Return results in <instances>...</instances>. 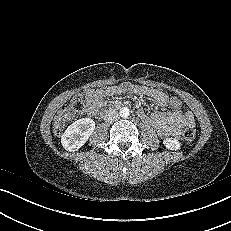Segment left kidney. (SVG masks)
<instances>
[{"label":"left kidney","mask_w":231,"mask_h":231,"mask_svg":"<svg viewBox=\"0 0 231 231\" xmlns=\"http://www.w3.org/2000/svg\"><path fill=\"white\" fill-rule=\"evenodd\" d=\"M163 144L165 145L167 149H170V150H179L181 147L180 142L177 139H173V138L164 139Z\"/></svg>","instance_id":"1"}]
</instances>
